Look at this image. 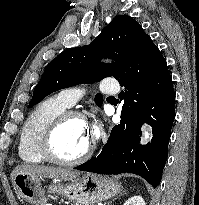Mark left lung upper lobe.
Here are the masks:
<instances>
[{"instance_id": "1", "label": "left lung upper lobe", "mask_w": 199, "mask_h": 205, "mask_svg": "<svg viewBox=\"0 0 199 205\" xmlns=\"http://www.w3.org/2000/svg\"><path fill=\"white\" fill-rule=\"evenodd\" d=\"M143 31L139 23L127 15L116 16L89 44L61 52L45 68L40 82L35 86L29 107L47 95L82 83H94L105 77H117L119 69ZM112 58V64L101 63L102 58ZM95 103L101 106L99 94Z\"/></svg>"}]
</instances>
